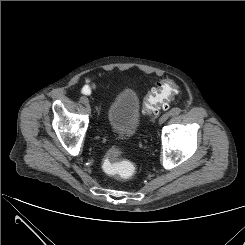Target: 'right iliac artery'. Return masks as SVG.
I'll use <instances>...</instances> for the list:
<instances>
[{"instance_id": "82829eb1", "label": "right iliac artery", "mask_w": 245, "mask_h": 245, "mask_svg": "<svg viewBox=\"0 0 245 245\" xmlns=\"http://www.w3.org/2000/svg\"><path fill=\"white\" fill-rule=\"evenodd\" d=\"M83 97L80 98V101L82 102Z\"/></svg>"}]
</instances>
